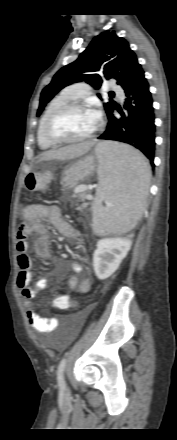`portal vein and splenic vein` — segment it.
Listing matches in <instances>:
<instances>
[{"label":"portal vein and splenic vein","instance_id":"18ae733b","mask_svg":"<svg viewBox=\"0 0 177 440\" xmlns=\"http://www.w3.org/2000/svg\"><path fill=\"white\" fill-rule=\"evenodd\" d=\"M88 187H84V189H87ZM87 198L88 199H92V197L91 196H87ZM112 205L111 204H107V207H111Z\"/></svg>","mask_w":177,"mask_h":440}]
</instances>
